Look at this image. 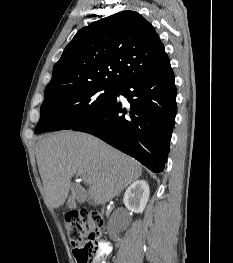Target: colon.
Returning a JSON list of instances; mask_svg holds the SVG:
<instances>
[{
	"label": "colon",
	"instance_id": "5ec220e1",
	"mask_svg": "<svg viewBox=\"0 0 233 263\" xmlns=\"http://www.w3.org/2000/svg\"><path fill=\"white\" fill-rule=\"evenodd\" d=\"M102 226L103 216L98 212L79 210L66 217V232L77 263L102 262Z\"/></svg>",
	"mask_w": 233,
	"mask_h": 263
}]
</instances>
